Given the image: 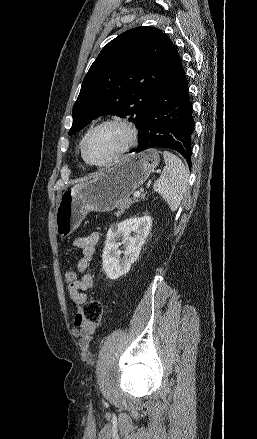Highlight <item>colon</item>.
<instances>
[{"label": "colon", "instance_id": "1", "mask_svg": "<svg viewBox=\"0 0 257 439\" xmlns=\"http://www.w3.org/2000/svg\"><path fill=\"white\" fill-rule=\"evenodd\" d=\"M78 279V274L75 271H67L65 273V280L68 285H73ZM81 317L84 321L99 326L102 323L103 307L100 301L91 299L84 303L81 308Z\"/></svg>", "mask_w": 257, "mask_h": 439}]
</instances>
